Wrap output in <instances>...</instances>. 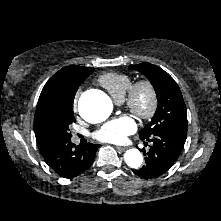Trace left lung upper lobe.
I'll list each match as a JSON object with an SVG mask.
<instances>
[{"instance_id":"obj_1","label":"left lung upper lobe","mask_w":221,"mask_h":221,"mask_svg":"<svg viewBox=\"0 0 221 221\" xmlns=\"http://www.w3.org/2000/svg\"><path fill=\"white\" fill-rule=\"evenodd\" d=\"M130 68L143 73L149 79L158 100L151 122L139 132L140 138H148L171 129H187L185 103L174 79L163 69L150 63L130 65Z\"/></svg>"}]
</instances>
